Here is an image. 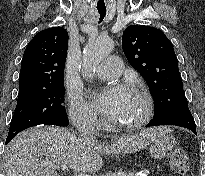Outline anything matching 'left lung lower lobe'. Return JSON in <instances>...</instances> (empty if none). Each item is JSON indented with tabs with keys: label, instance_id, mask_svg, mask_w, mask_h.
Returning a JSON list of instances; mask_svg holds the SVG:
<instances>
[{
	"label": "left lung lower lobe",
	"instance_id": "1",
	"mask_svg": "<svg viewBox=\"0 0 205 176\" xmlns=\"http://www.w3.org/2000/svg\"><path fill=\"white\" fill-rule=\"evenodd\" d=\"M158 125L181 126L184 128H188L196 134V125L194 122V118L189 111L187 101L179 103L174 109H172L168 113L153 118V120L147 125V127Z\"/></svg>",
	"mask_w": 205,
	"mask_h": 176
}]
</instances>
